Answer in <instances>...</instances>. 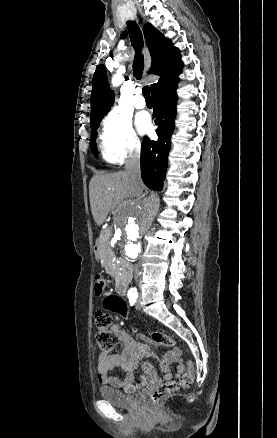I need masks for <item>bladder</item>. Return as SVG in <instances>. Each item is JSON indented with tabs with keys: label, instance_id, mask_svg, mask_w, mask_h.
I'll return each mask as SVG.
<instances>
[{
	"label": "bladder",
	"instance_id": "1",
	"mask_svg": "<svg viewBox=\"0 0 277 438\" xmlns=\"http://www.w3.org/2000/svg\"><path fill=\"white\" fill-rule=\"evenodd\" d=\"M97 395L101 397L102 401L124 409H132L142 400L141 392H134L130 395H126L121 390L111 387L98 389Z\"/></svg>",
	"mask_w": 277,
	"mask_h": 438
}]
</instances>
